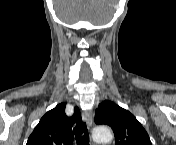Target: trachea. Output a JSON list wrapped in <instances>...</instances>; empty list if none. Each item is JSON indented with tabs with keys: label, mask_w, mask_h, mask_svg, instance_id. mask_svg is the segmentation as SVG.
Returning a JSON list of instances; mask_svg holds the SVG:
<instances>
[{
	"label": "trachea",
	"mask_w": 176,
	"mask_h": 145,
	"mask_svg": "<svg viewBox=\"0 0 176 145\" xmlns=\"http://www.w3.org/2000/svg\"><path fill=\"white\" fill-rule=\"evenodd\" d=\"M74 132H76L78 135L84 133L83 136H76L77 145H89V135L85 123H78L74 129Z\"/></svg>",
	"instance_id": "3493384b"
}]
</instances>
